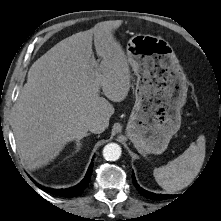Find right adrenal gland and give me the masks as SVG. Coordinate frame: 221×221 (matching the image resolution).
I'll list each match as a JSON object with an SVG mask.
<instances>
[{"instance_id": "1", "label": "right adrenal gland", "mask_w": 221, "mask_h": 221, "mask_svg": "<svg viewBox=\"0 0 221 221\" xmlns=\"http://www.w3.org/2000/svg\"><path fill=\"white\" fill-rule=\"evenodd\" d=\"M89 135H90V133H87L84 135V137L89 136ZM76 146H77V148H76L75 152H78L82 146L80 139L76 141Z\"/></svg>"}]
</instances>
